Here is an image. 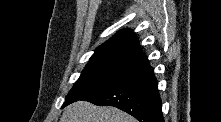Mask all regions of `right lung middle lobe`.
I'll return each instance as SVG.
<instances>
[{
    "label": "right lung middle lobe",
    "mask_w": 221,
    "mask_h": 122,
    "mask_svg": "<svg viewBox=\"0 0 221 122\" xmlns=\"http://www.w3.org/2000/svg\"><path fill=\"white\" fill-rule=\"evenodd\" d=\"M138 61L121 58L91 60L68 93L65 105L83 100L123 79Z\"/></svg>",
    "instance_id": "right-lung-middle-lobe-1"
}]
</instances>
